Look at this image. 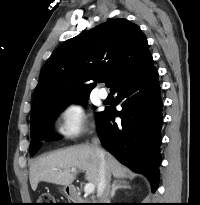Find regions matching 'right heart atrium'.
<instances>
[{"instance_id":"1","label":"right heart atrium","mask_w":200,"mask_h":205,"mask_svg":"<svg viewBox=\"0 0 200 205\" xmlns=\"http://www.w3.org/2000/svg\"><path fill=\"white\" fill-rule=\"evenodd\" d=\"M91 127V117L80 102L66 103L58 115V133L65 139H75Z\"/></svg>"}]
</instances>
